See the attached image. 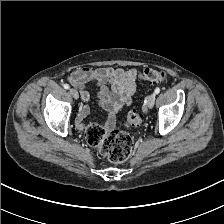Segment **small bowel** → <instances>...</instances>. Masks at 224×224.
Here are the masks:
<instances>
[{"mask_svg": "<svg viewBox=\"0 0 224 224\" xmlns=\"http://www.w3.org/2000/svg\"><path fill=\"white\" fill-rule=\"evenodd\" d=\"M138 70L112 67L80 68L73 71L69 81L80 91L83 104L76 118L79 129L84 127V121L89 114L87 103L90 93L86 85L95 83L98 86V99L101 106L110 114L121 111L131 103L132 95L136 89Z\"/></svg>", "mask_w": 224, "mask_h": 224, "instance_id": "1", "label": "small bowel"}]
</instances>
